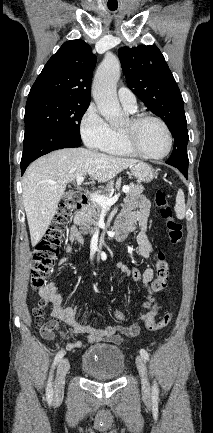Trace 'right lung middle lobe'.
Masks as SVG:
<instances>
[{
  "label": "right lung middle lobe",
  "instance_id": "1",
  "mask_svg": "<svg viewBox=\"0 0 213 433\" xmlns=\"http://www.w3.org/2000/svg\"><path fill=\"white\" fill-rule=\"evenodd\" d=\"M90 102L54 97L28 98L25 129L45 126L81 141L80 122Z\"/></svg>",
  "mask_w": 213,
  "mask_h": 433
}]
</instances>
